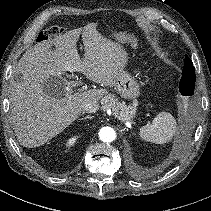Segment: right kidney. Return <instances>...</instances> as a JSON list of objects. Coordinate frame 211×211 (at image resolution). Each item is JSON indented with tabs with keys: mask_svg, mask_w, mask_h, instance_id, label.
<instances>
[{
	"mask_svg": "<svg viewBox=\"0 0 211 211\" xmlns=\"http://www.w3.org/2000/svg\"><path fill=\"white\" fill-rule=\"evenodd\" d=\"M75 142H76V137H72V138L67 140L66 145L67 146H72V145H74Z\"/></svg>",
	"mask_w": 211,
	"mask_h": 211,
	"instance_id": "obj_1",
	"label": "right kidney"
}]
</instances>
